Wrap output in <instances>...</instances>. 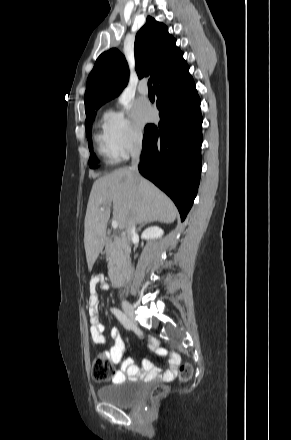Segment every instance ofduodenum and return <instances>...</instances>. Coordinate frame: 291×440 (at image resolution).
I'll return each mask as SVG.
<instances>
[{
  "label": "duodenum",
  "instance_id": "1",
  "mask_svg": "<svg viewBox=\"0 0 291 440\" xmlns=\"http://www.w3.org/2000/svg\"><path fill=\"white\" fill-rule=\"evenodd\" d=\"M109 277L113 284L119 285L123 279L130 277V267L127 264L117 267L112 265L109 269Z\"/></svg>",
  "mask_w": 291,
  "mask_h": 440
}]
</instances>
